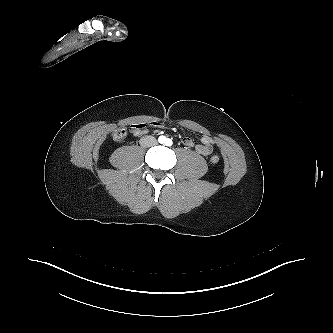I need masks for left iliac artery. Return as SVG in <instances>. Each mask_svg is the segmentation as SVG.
Masks as SVG:
<instances>
[{
	"label": "left iliac artery",
	"mask_w": 333,
	"mask_h": 333,
	"mask_svg": "<svg viewBox=\"0 0 333 333\" xmlns=\"http://www.w3.org/2000/svg\"><path fill=\"white\" fill-rule=\"evenodd\" d=\"M165 144H166L167 146H171V145L173 144V142H172L171 139H167Z\"/></svg>",
	"instance_id": "left-iliac-artery-1"
}]
</instances>
